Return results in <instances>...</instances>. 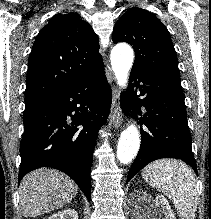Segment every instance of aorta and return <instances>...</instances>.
Here are the masks:
<instances>
[{"label": "aorta", "instance_id": "1", "mask_svg": "<svg viewBox=\"0 0 211 219\" xmlns=\"http://www.w3.org/2000/svg\"><path fill=\"white\" fill-rule=\"evenodd\" d=\"M134 53L127 44H119L111 51V66L121 88L128 82V73L132 67ZM140 147V135L135 125L128 126L122 131L117 147V158L120 162L128 164L137 155Z\"/></svg>", "mask_w": 211, "mask_h": 219}]
</instances>
